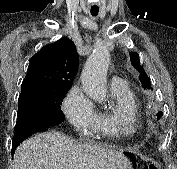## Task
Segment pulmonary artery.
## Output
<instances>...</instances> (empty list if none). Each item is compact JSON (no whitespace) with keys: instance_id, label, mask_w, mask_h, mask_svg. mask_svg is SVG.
Masks as SVG:
<instances>
[{"instance_id":"1","label":"pulmonary artery","mask_w":177,"mask_h":169,"mask_svg":"<svg viewBox=\"0 0 177 169\" xmlns=\"http://www.w3.org/2000/svg\"><path fill=\"white\" fill-rule=\"evenodd\" d=\"M125 87H126V82L123 79L117 76L111 77V89L112 90H122Z\"/></svg>"}]
</instances>
